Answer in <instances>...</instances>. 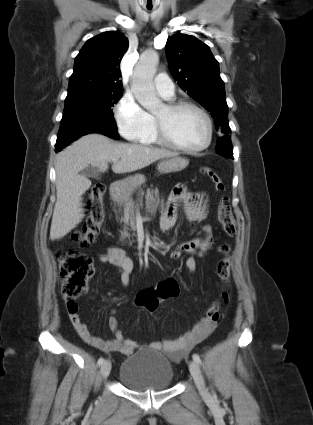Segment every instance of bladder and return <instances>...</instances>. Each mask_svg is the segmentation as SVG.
Returning a JSON list of instances; mask_svg holds the SVG:
<instances>
[{
  "instance_id": "bladder-1",
  "label": "bladder",
  "mask_w": 313,
  "mask_h": 425,
  "mask_svg": "<svg viewBox=\"0 0 313 425\" xmlns=\"http://www.w3.org/2000/svg\"><path fill=\"white\" fill-rule=\"evenodd\" d=\"M118 379L132 391L165 390L174 381V370L163 353L144 349L122 362Z\"/></svg>"
}]
</instances>
